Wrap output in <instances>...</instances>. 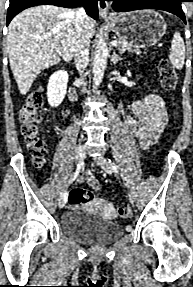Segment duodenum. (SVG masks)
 I'll return each instance as SVG.
<instances>
[{
	"label": "duodenum",
	"mask_w": 193,
	"mask_h": 287,
	"mask_svg": "<svg viewBox=\"0 0 193 287\" xmlns=\"http://www.w3.org/2000/svg\"><path fill=\"white\" fill-rule=\"evenodd\" d=\"M76 99V90L74 87H71L69 89V100L70 102H73Z\"/></svg>",
	"instance_id": "410a0bca"
}]
</instances>
